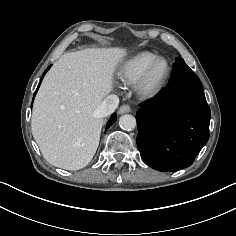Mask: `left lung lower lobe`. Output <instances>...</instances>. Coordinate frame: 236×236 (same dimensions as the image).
Returning a JSON list of instances; mask_svg holds the SVG:
<instances>
[{
	"mask_svg": "<svg viewBox=\"0 0 236 236\" xmlns=\"http://www.w3.org/2000/svg\"><path fill=\"white\" fill-rule=\"evenodd\" d=\"M210 115L199 78L184 60L176 61L168 86L136 113L145 163L163 172L190 166L209 139Z\"/></svg>",
	"mask_w": 236,
	"mask_h": 236,
	"instance_id": "left-lung-lower-lobe-1",
	"label": "left lung lower lobe"
}]
</instances>
